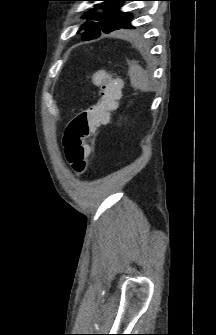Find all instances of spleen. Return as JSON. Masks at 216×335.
Returning a JSON list of instances; mask_svg holds the SVG:
<instances>
[{
    "label": "spleen",
    "mask_w": 216,
    "mask_h": 335,
    "mask_svg": "<svg viewBox=\"0 0 216 335\" xmlns=\"http://www.w3.org/2000/svg\"><path fill=\"white\" fill-rule=\"evenodd\" d=\"M128 74L131 85L135 89H139L143 92L151 91L152 82L149 75L136 61L130 63Z\"/></svg>",
    "instance_id": "3e777b00"
}]
</instances>
